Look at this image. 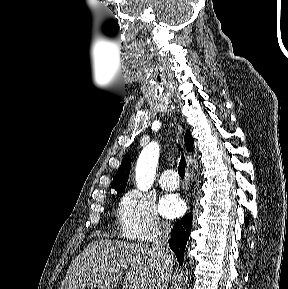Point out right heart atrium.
Listing matches in <instances>:
<instances>
[{
    "instance_id": "1",
    "label": "right heart atrium",
    "mask_w": 288,
    "mask_h": 289,
    "mask_svg": "<svg viewBox=\"0 0 288 289\" xmlns=\"http://www.w3.org/2000/svg\"><path fill=\"white\" fill-rule=\"evenodd\" d=\"M118 216L123 236L138 242L154 241L169 229L160 218L154 200L138 190L124 194L119 203Z\"/></svg>"
}]
</instances>
